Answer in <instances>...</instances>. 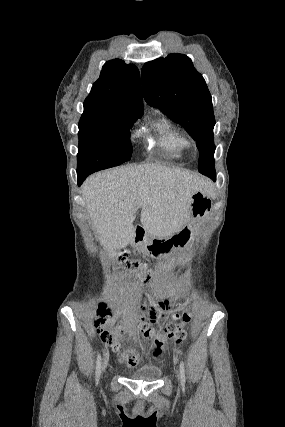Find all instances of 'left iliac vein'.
I'll use <instances>...</instances> for the list:
<instances>
[{
	"label": "left iliac vein",
	"mask_w": 285,
	"mask_h": 427,
	"mask_svg": "<svg viewBox=\"0 0 285 427\" xmlns=\"http://www.w3.org/2000/svg\"><path fill=\"white\" fill-rule=\"evenodd\" d=\"M177 376H178V378H179V372L177 371Z\"/></svg>",
	"instance_id": "left-iliac-vein-1"
}]
</instances>
